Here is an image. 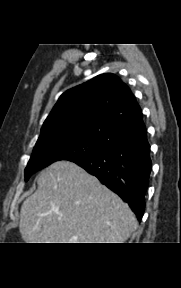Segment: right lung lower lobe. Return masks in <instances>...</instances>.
Segmentation results:
<instances>
[{
  "instance_id": "obj_1",
  "label": "right lung lower lobe",
  "mask_w": 181,
  "mask_h": 288,
  "mask_svg": "<svg viewBox=\"0 0 181 288\" xmlns=\"http://www.w3.org/2000/svg\"><path fill=\"white\" fill-rule=\"evenodd\" d=\"M71 161L96 176L128 203L139 221L142 219L152 169L148 141L113 147Z\"/></svg>"
}]
</instances>
